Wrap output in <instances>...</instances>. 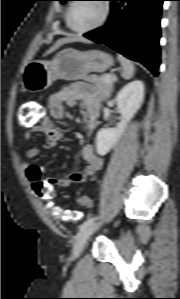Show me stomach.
Returning <instances> with one entry per match:
<instances>
[{
  "label": "stomach",
  "instance_id": "1",
  "mask_svg": "<svg viewBox=\"0 0 180 299\" xmlns=\"http://www.w3.org/2000/svg\"><path fill=\"white\" fill-rule=\"evenodd\" d=\"M113 63L112 56L103 51L67 48L58 52L51 61L27 63L21 73L22 90L36 93L47 89L57 79H84L91 72L106 71Z\"/></svg>",
  "mask_w": 180,
  "mask_h": 299
}]
</instances>
